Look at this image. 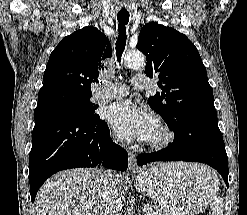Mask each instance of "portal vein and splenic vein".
<instances>
[{
  "mask_svg": "<svg viewBox=\"0 0 247 215\" xmlns=\"http://www.w3.org/2000/svg\"><path fill=\"white\" fill-rule=\"evenodd\" d=\"M152 211V209L148 208V207H144V212H147L148 215H150V212Z\"/></svg>",
  "mask_w": 247,
  "mask_h": 215,
  "instance_id": "obj_1",
  "label": "portal vein and splenic vein"
}]
</instances>
